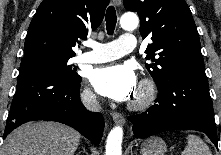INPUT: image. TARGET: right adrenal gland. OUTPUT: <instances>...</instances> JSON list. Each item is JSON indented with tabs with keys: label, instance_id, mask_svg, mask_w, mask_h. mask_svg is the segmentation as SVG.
<instances>
[{
	"label": "right adrenal gland",
	"instance_id": "1",
	"mask_svg": "<svg viewBox=\"0 0 221 155\" xmlns=\"http://www.w3.org/2000/svg\"><path fill=\"white\" fill-rule=\"evenodd\" d=\"M81 152H83L85 155H88V153L86 152L84 147H82L81 150H79V155H80Z\"/></svg>",
	"mask_w": 221,
	"mask_h": 155
}]
</instances>
